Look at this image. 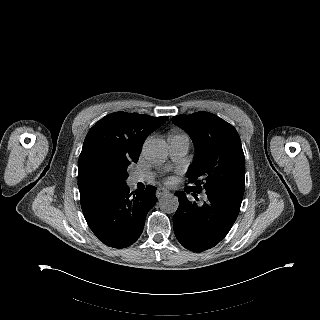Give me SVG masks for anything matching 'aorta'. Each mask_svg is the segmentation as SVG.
Wrapping results in <instances>:
<instances>
[{
    "label": "aorta",
    "instance_id": "1",
    "mask_svg": "<svg viewBox=\"0 0 320 320\" xmlns=\"http://www.w3.org/2000/svg\"><path fill=\"white\" fill-rule=\"evenodd\" d=\"M145 157L154 164H162L169 155V147L167 143L158 138L147 140L143 146ZM159 206L165 213H175L178 209V198L173 194H165L159 200Z\"/></svg>",
    "mask_w": 320,
    "mask_h": 320
}]
</instances>
